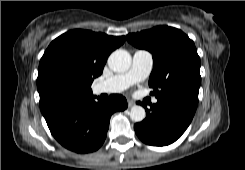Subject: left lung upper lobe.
<instances>
[{"instance_id":"5c2ea615","label":"left lung upper lobe","mask_w":245,"mask_h":170,"mask_svg":"<svg viewBox=\"0 0 245 170\" xmlns=\"http://www.w3.org/2000/svg\"><path fill=\"white\" fill-rule=\"evenodd\" d=\"M128 42L153 56L149 86L157 99L177 98L198 103L200 58L194 42L181 30L158 26L126 36Z\"/></svg>"}]
</instances>
